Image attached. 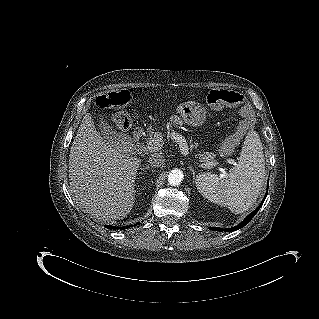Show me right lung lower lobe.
<instances>
[{
	"instance_id": "obj_1",
	"label": "right lung lower lobe",
	"mask_w": 319,
	"mask_h": 319,
	"mask_svg": "<svg viewBox=\"0 0 319 319\" xmlns=\"http://www.w3.org/2000/svg\"><path fill=\"white\" fill-rule=\"evenodd\" d=\"M104 227H105V228H108V229H113V230L118 229V227L111 226V225H105Z\"/></svg>"
}]
</instances>
